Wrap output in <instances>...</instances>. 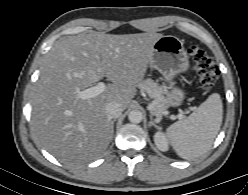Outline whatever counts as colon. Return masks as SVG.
<instances>
[{
	"label": "colon",
	"instance_id": "1",
	"mask_svg": "<svg viewBox=\"0 0 248 195\" xmlns=\"http://www.w3.org/2000/svg\"><path fill=\"white\" fill-rule=\"evenodd\" d=\"M189 53L202 87L207 90L212 89L219 76L215 60L198 46L190 47Z\"/></svg>",
	"mask_w": 248,
	"mask_h": 195
}]
</instances>
